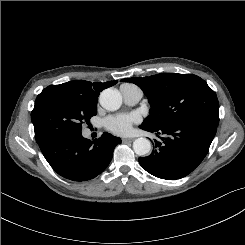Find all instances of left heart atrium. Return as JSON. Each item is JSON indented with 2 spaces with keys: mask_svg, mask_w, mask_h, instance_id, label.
<instances>
[{
  "mask_svg": "<svg viewBox=\"0 0 245 245\" xmlns=\"http://www.w3.org/2000/svg\"><path fill=\"white\" fill-rule=\"evenodd\" d=\"M138 120L139 118L134 114H117L105 118L103 125L105 129L116 135H126Z\"/></svg>",
  "mask_w": 245,
  "mask_h": 245,
  "instance_id": "39dd6f15",
  "label": "left heart atrium"
}]
</instances>
